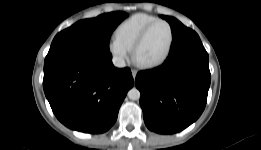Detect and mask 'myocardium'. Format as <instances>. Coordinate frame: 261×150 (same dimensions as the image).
Here are the masks:
<instances>
[{
    "instance_id": "1",
    "label": "myocardium",
    "mask_w": 261,
    "mask_h": 150,
    "mask_svg": "<svg viewBox=\"0 0 261 150\" xmlns=\"http://www.w3.org/2000/svg\"><path fill=\"white\" fill-rule=\"evenodd\" d=\"M163 23L165 24L168 29H169V34H170V38H169V45L167 48L166 53L164 54L163 57H161L160 59L156 60V61H152V62H142L138 59V51L140 49V47L142 46V44L144 43V41L146 40L148 34L150 33V31L152 30L153 27H155L157 24ZM173 44H174V31H173V27L172 25L164 19H157L155 21H153L152 23H150L149 25H147L144 30L140 33V35L138 36V38L136 39L133 47H132V55H133V59L136 62L137 65H139L142 68H155L158 67L162 64H164L168 58L171 55L172 49H173Z\"/></svg>"
}]
</instances>
